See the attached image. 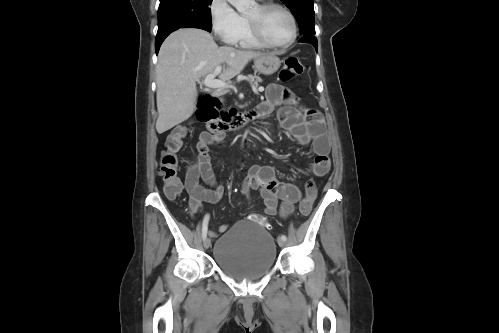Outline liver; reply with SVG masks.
Masks as SVG:
<instances>
[{"label": "liver", "mask_w": 499, "mask_h": 333, "mask_svg": "<svg viewBox=\"0 0 499 333\" xmlns=\"http://www.w3.org/2000/svg\"><path fill=\"white\" fill-rule=\"evenodd\" d=\"M265 53L219 47L211 34L196 28L179 29L161 45L156 66V130L162 134L190 118L196 107V82L225 63L220 80L238 75L253 58Z\"/></svg>", "instance_id": "1"}]
</instances>
